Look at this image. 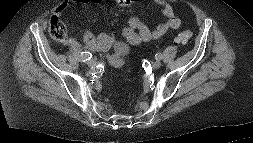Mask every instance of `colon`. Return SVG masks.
I'll return each instance as SVG.
<instances>
[{
  "mask_svg": "<svg viewBox=\"0 0 253 143\" xmlns=\"http://www.w3.org/2000/svg\"><path fill=\"white\" fill-rule=\"evenodd\" d=\"M48 31L50 36L57 42L62 43L67 39L66 27L56 16H52L50 18ZM191 36L192 35L189 31H183L178 34L175 41L178 44H186L190 40ZM111 61H116L119 65L123 63V61L115 57H112Z\"/></svg>",
  "mask_w": 253,
  "mask_h": 143,
  "instance_id": "obj_1",
  "label": "colon"
}]
</instances>
